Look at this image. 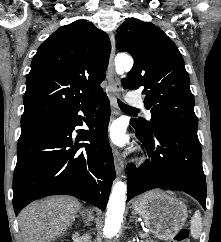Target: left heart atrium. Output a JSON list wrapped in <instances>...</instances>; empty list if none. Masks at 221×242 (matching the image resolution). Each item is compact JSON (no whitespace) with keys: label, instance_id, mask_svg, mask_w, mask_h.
Returning <instances> with one entry per match:
<instances>
[{"label":"left heart atrium","instance_id":"39dd6f15","mask_svg":"<svg viewBox=\"0 0 221 242\" xmlns=\"http://www.w3.org/2000/svg\"><path fill=\"white\" fill-rule=\"evenodd\" d=\"M109 139L116 145H124L127 141V137L124 132V128L121 124L115 123L110 126L108 130Z\"/></svg>","mask_w":221,"mask_h":242}]
</instances>
